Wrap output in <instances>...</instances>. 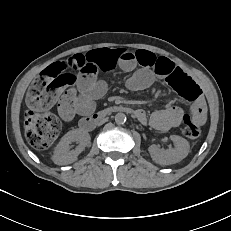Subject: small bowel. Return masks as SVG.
<instances>
[{
	"instance_id": "small-bowel-1",
	"label": "small bowel",
	"mask_w": 231,
	"mask_h": 231,
	"mask_svg": "<svg viewBox=\"0 0 231 231\" xmlns=\"http://www.w3.org/2000/svg\"><path fill=\"white\" fill-rule=\"evenodd\" d=\"M68 71L76 72L75 89L63 95L58 100V111L64 121H71L76 114H88L94 108V100L102 96L106 90L104 82L99 80V74L119 67L130 72L127 80L130 90L138 91L147 88L155 77L165 80L173 74H185L183 70L167 57H157L147 50L130 51L128 49H97L85 54H76L62 60ZM139 67V68H137ZM138 120L149 123L158 131H167L180 125L184 118L197 124L206 120L205 102L200 96L191 107V116L177 106H168L157 110L148 118L145 111L137 110Z\"/></svg>"
}]
</instances>
